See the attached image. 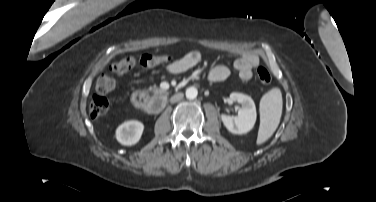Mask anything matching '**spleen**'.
<instances>
[{"label":"spleen","instance_id":"spleen-1","mask_svg":"<svg viewBox=\"0 0 376 202\" xmlns=\"http://www.w3.org/2000/svg\"><path fill=\"white\" fill-rule=\"evenodd\" d=\"M282 114V95L278 88L267 92L260 101V127L257 144L264 143L272 136L280 122Z\"/></svg>","mask_w":376,"mask_h":202}]
</instances>
